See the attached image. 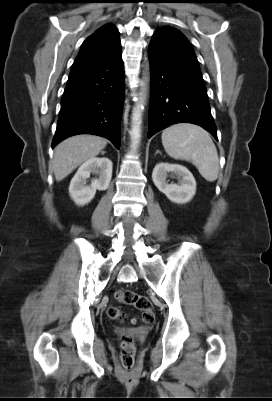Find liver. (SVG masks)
Segmentation results:
<instances>
[{"mask_svg":"<svg viewBox=\"0 0 272 401\" xmlns=\"http://www.w3.org/2000/svg\"><path fill=\"white\" fill-rule=\"evenodd\" d=\"M106 145V139L89 134L75 135L59 143L52 161L56 181L63 180L79 165L97 156Z\"/></svg>","mask_w":272,"mask_h":401,"instance_id":"liver-1","label":"liver"}]
</instances>
